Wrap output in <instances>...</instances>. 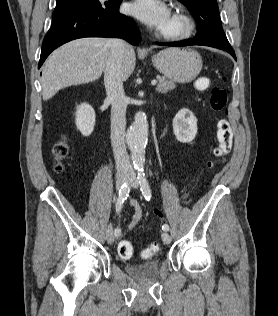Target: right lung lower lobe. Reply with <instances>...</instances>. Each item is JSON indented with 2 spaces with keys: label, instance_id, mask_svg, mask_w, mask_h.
<instances>
[{
  "label": "right lung lower lobe",
  "instance_id": "1",
  "mask_svg": "<svg viewBox=\"0 0 278 316\" xmlns=\"http://www.w3.org/2000/svg\"><path fill=\"white\" fill-rule=\"evenodd\" d=\"M121 1L100 3L95 0L55 9L51 28L43 40L38 68L54 49L77 38L118 37L133 45L139 44V30L130 18L119 12Z\"/></svg>",
  "mask_w": 278,
  "mask_h": 316
}]
</instances>
